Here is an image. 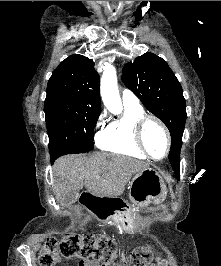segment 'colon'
<instances>
[{
    "mask_svg": "<svg viewBox=\"0 0 221 266\" xmlns=\"http://www.w3.org/2000/svg\"><path fill=\"white\" fill-rule=\"evenodd\" d=\"M117 247L111 237L92 234L66 233L58 241L47 239L40 254L41 266H58L62 258H79L100 262L101 266H120L116 262ZM152 253L148 246L134 249L130 255L131 266H150Z\"/></svg>",
    "mask_w": 221,
    "mask_h": 266,
    "instance_id": "5ec220e1",
    "label": "colon"
}]
</instances>
